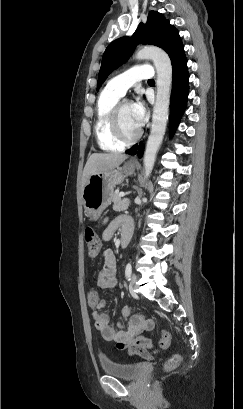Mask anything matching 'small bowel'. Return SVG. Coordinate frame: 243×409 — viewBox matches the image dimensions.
<instances>
[{"mask_svg":"<svg viewBox=\"0 0 243 409\" xmlns=\"http://www.w3.org/2000/svg\"><path fill=\"white\" fill-rule=\"evenodd\" d=\"M119 227L122 228L123 232L127 229L132 232L133 223L130 219L125 217L115 219L104 230L102 234L103 241H109ZM102 257L103 266L98 272L97 284L99 287L105 289L115 288L117 286L115 278L117 269L115 254L113 251L107 249L103 252ZM105 304L106 301L101 299L97 305L90 306L95 328L101 333L103 339L114 342L118 350H125L129 355H137L143 358L151 357L149 350L153 348V343L149 338L143 336L142 333L152 330V321L142 315H134L127 319L131 308L126 306L121 310V314L127 319V327L122 328V323L119 322L118 328H114L109 324L108 315L100 311Z\"/></svg>","mask_w":243,"mask_h":409,"instance_id":"small-bowel-1","label":"small bowel"}]
</instances>
